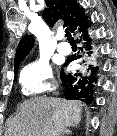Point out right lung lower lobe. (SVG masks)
<instances>
[{"instance_id":"1","label":"right lung lower lobe","mask_w":117,"mask_h":136,"mask_svg":"<svg viewBox=\"0 0 117 136\" xmlns=\"http://www.w3.org/2000/svg\"><path fill=\"white\" fill-rule=\"evenodd\" d=\"M83 26L80 29L82 35L84 36V40L86 41V50H91V40L87 34V26ZM92 51H90V54ZM78 57L71 56L67 59L65 66L68 62L76 60ZM98 72V67L91 68V75L90 76H82L79 73L74 75L66 74L64 71H61L60 77L62 81V85L64 86V96L66 99L69 100H82L86 103H91L94 99L93 97V88L94 83L97 82L96 77L94 76Z\"/></svg>"}]
</instances>
